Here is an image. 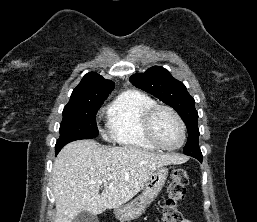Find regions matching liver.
Masks as SVG:
<instances>
[{
  "label": "liver",
  "instance_id": "obj_1",
  "mask_svg": "<svg viewBox=\"0 0 257 222\" xmlns=\"http://www.w3.org/2000/svg\"><path fill=\"white\" fill-rule=\"evenodd\" d=\"M186 160L133 147H103L94 140L71 142L53 165L55 222H72L82 211L97 215L118 208L143 189L157 168Z\"/></svg>",
  "mask_w": 257,
  "mask_h": 222
}]
</instances>
